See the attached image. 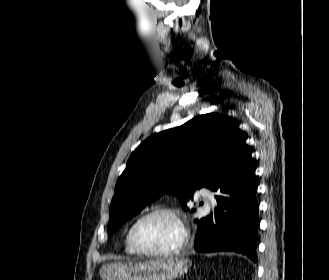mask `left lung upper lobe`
I'll return each mask as SVG.
<instances>
[{"instance_id":"1","label":"left lung upper lobe","mask_w":329,"mask_h":280,"mask_svg":"<svg viewBox=\"0 0 329 280\" xmlns=\"http://www.w3.org/2000/svg\"><path fill=\"white\" fill-rule=\"evenodd\" d=\"M245 141L238 125L218 113L199 115L147 138L117 180L109 235L164 193L176 194L184 203L202 186L216 192L226 187L241 168Z\"/></svg>"}]
</instances>
